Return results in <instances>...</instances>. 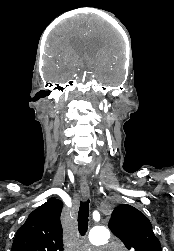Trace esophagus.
Instances as JSON below:
<instances>
[{"instance_id": "1", "label": "esophagus", "mask_w": 174, "mask_h": 251, "mask_svg": "<svg viewBox=\"0 0 174 251\" xmlns=\"http://www.w3.org/2000/svg\"><path fill=\"white\" fill-rule=\"evenodd\" d=\"M80 189H81V195L83 197V199H88L89 195H90V189H89V185L86 182L81 183L80 185Z\"/></svg>"}]
</instances>
